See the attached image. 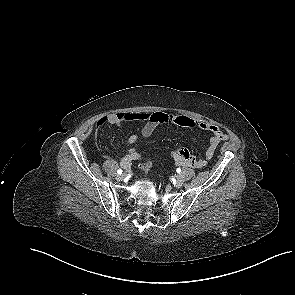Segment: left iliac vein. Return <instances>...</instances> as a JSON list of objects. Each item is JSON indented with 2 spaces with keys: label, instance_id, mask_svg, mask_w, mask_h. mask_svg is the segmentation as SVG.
<instances>
[{
  "label": "left iliac vein",
  "instance_id": "4c4485c4",
  "mask_svg": "<svg viewBox=\"0 0 295 295\" xmlns=\"http://www.w3.org/2000/svg\"><path fill=\"white\" fill-rule=\"evenodd\" d=\"M183 182L179 176H177V180L174 182V186L177 188H180L182 186Z\"/></svg>",
  "mask_w": 295,
  "mask_h": 295
}]
</instances>
